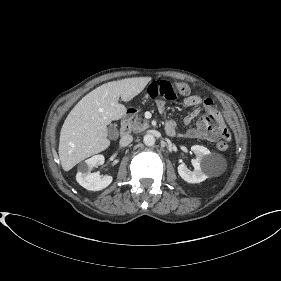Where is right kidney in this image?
I'll list each match as a JSON object with an SVG mask.
<instances>
[{"label":"right kidney","mask_w":281,"mask_h":281,"mask_svg":"<svg viewBox=\"0 0 281 281\" xmlns=\"http://www.w3.org/2000/svg\"><path fill=\"white\" fill-rule=\"evenodd\" d=\"M103 155H95L78 166L76 174L77 182L87 190L99 191L108 187L113 178L112 176L105 175L101 177L99 173H91L94 167H98L104 163Z\"/></svg>","instance_id":"1"}]
</instances>
